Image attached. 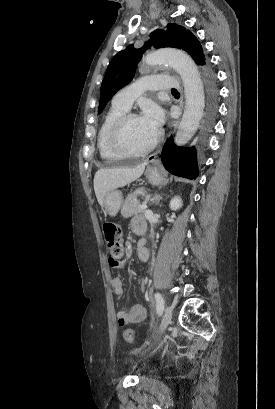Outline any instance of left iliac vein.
I'll return each mask as SVG.
<instances>
[{"instance_id": "obj_1", "label": "left iliac vein", "mask_w": 275, "mask_h": 409, "mask_svg": "<svg viewBox=\"0 0 275 409\" xmlns=\"http://www.w3.org/2000/svg\"><path fill=\"white\" fill-rule=\"evenodd\" d=\"M172 313H173V307L172 306H167L162 318V321L159 326V333L163 334L167 328V326L170 325L172 321Z\"/></svg>"}]
</instances>
